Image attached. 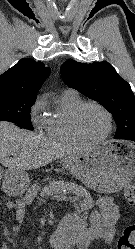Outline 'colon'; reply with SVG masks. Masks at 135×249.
Wrapping results in <instances>:
<instances>
[{"mask_svg": "<svg viewBox=\"0 0 135 249\" xmlns=\"http://www.w3.org/2000/svg\"><path fill=\"white\" fill-rule=\"evenodd\" d=\"M126 201L135 206V181L131 182L124 191ZM117 249H135V225L127 226L117 240Z\"/></svg>", "mask_w": 135, "mask_h": 249, "instance_id": "1", "label": "colon"}]
</instances>
